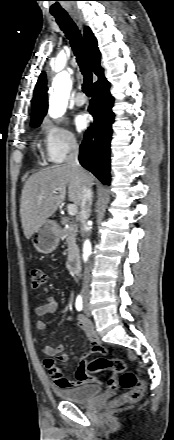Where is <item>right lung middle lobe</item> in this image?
<instances>
[{
    "label": "right lung middle lobe",
    "instance_id": "right-lung-middle-lobe-1",
    "mask_svg": "<svg viewBox=\"0 0 174 440\" xmlns=\"http://www.w3.org/2000/svg\"><path fill=\"white\" fill-rule=\"evenodd\" d=\"M40 123H41V121H36V122L31 123V126L38 127L40 125Z\"/></svg>",
    "mask_w": 174,
    "mask_h": 440
}]
</instances>
